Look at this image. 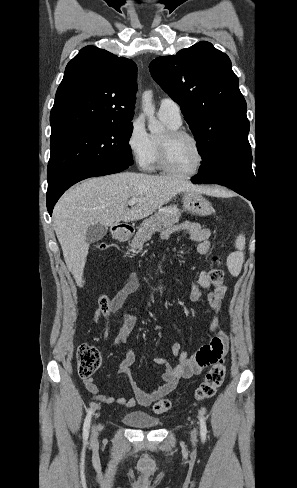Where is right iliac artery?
I'll return each instance as SVG.
<instances>
[{
    "label": "right iliac artery",
    "mask_w": 297,
    "mask_h": 488,
    "mask_svg": "<svg viewBox=\"0 0 297 488\" xmlns=\"http://www.w3.org/2000/svg\"><path fill=\"white\" fill-rule=\"evenodd\" d=\"M92 413H93V408H90L88 410V413H87L85 421H84V426H83V438H84V440H87V438H88Z\"/></svg>",
    "instance_id": "obj_1"
}]
</instances>
